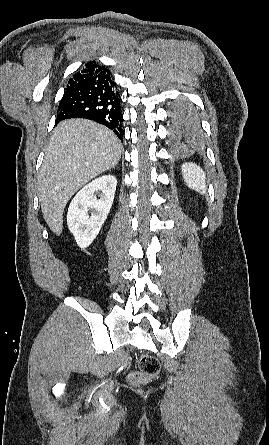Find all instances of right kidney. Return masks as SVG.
Returning <instances> with one entry per match:
<instances>
[{
  "instance_id": "obj_1",
  "label": "right kidney",
  "mask_w": 269,
  "mask_h": 445,
  "mask_svg": "<svg viewBox=\"0 0 269 445\" xmlns=\"http://www.w3.org/2000/svg\"><path fill=\"white\" fill-rule=\"evenodd\" d=\"M116 186L115 176L105 175L84 186L71 201L67 225L79 247L87 248L98 235L113 204ZM97 191L102 192L100 199L94 197ZM89 208L93 209L91 216Z\"/></svg>"
}]
</instances>
